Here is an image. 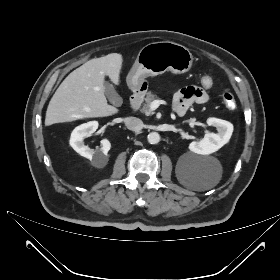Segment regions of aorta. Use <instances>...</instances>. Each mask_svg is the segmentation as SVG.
<instances>
[{
    "mask_svg": "<svg viewBox=\"0 0 280 280\" xmlns=\"http://www.w3.org/2000/svg\"><path fill=\"white\" fill-rule=\"evenodd\" d=\"M147 140L150 144H157L160 142V135L157 132H151L148 134Z\"/></svg>",
    "mask_w": 280,
    "mask_h": 280,
    "instance_id": "obj_1",
    "label": "aorta"
}]
</instances>
